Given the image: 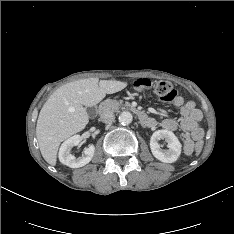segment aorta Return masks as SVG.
Here are the masks:
<instances>
[{
    "mask_svg": "<svg viewBox=\"0 0 234 234\" xmlns=\"http://www.w3.org/2000/svg\"><path fill=\"white\" fill-rule=\"evenodd\" d=\"M119 122L123 125H128L132 122L133 120V116L130 112L128 111H123L121 112V114L119 115Z\"/></svg>",
    "mask_w": 234,
    "mask_h": 234,
    "instance_id": "obj_1",
    "label": "aorta"
}]
</instances>
